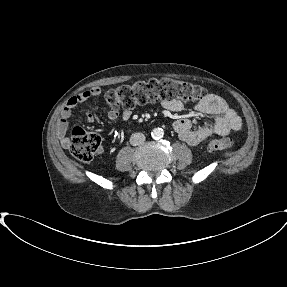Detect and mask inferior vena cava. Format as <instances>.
I'll list each match as a JSON object with an SVG mask.
<instances>
[{
  "label": "inferior vena cava",
  "instance_id": "inferior-vena-cava-1",
  "mask_svg": "<svg viewBox=\"0 0 287 287\" xmlns=\"http://www.w3.org/2000/svg\"><path fill=\"white\" fill-rule=\"evenodd\" d=\"M145 135L143 133H134L130 137V144L132 146H138L145 142Z\"/></svg>",
  "mask_w": 287,
  "mask_h": 287
}]
</instances>
